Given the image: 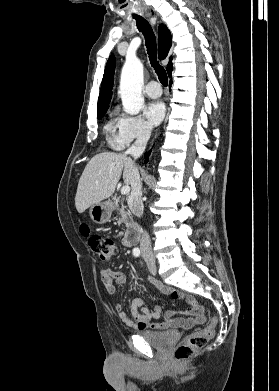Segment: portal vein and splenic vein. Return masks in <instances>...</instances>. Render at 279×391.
Here are the masks:
<instances>
[{"instance_id":"obj_1","label":"portal vein and splenic vein","mask_w":279,"mask_h":391,"mask_svg":"<svg viewBox=\"0 0 279 391\" xmlns=\"http://www.w3.org/2000/svg\"><path fill=\"white\" fill-rule=\"evenodd\" d=\"M129 192H130V187H129L128 185L123 186V187L121 188V194L126 195V194H128Z\"/></svg>"}]
</instances>
